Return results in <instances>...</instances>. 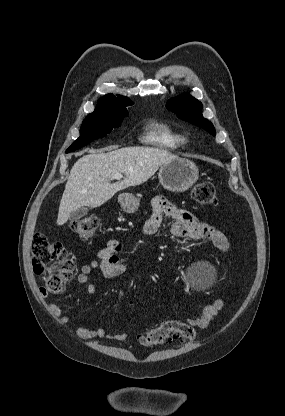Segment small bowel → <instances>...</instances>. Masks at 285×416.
<instances>
[{
	"label": "small bowel",
	"instance_id": "c3829d8e",
	"mask_svg": "<svg viewBox=\"0 0 285 416\" xmlns=\"http://www.w3.org/2000/svg\"><path fill=\"white\" fill-rule=\"evenodd\" d=\"M164 217H169L173 220V224L170 227V232L173 236L188 240L208 241L224 253L230 250L229 241L222 231L199 221L191 212L175 207L161 196L153 199L152 214L144 224V234H155L161 227ZM121 250V242L117 239H110L99 251L97 260L81 266L77 275V281L85 287L89 295H93L96 290L90 279V275L94 270H99L105 278H115L125 273V266L119 257ZM41 294L46 297V289L42 288ZM223 305L222 299L214 300L212 304L205 306L197 317L186 319V324L192 327L206 328L223 308ZM49 311L61 324L67 325L70 323V317L63 313L59 305L55 303L49 304ZM76 333L79 337L88 340L104 338L126 341L128 339L127 333L110 334L106 328L101 326L94 329L79 326L76 329Z\"/></svg>",
	"mask_w": 285,
	"mask_h": 416
}]
</instances>
